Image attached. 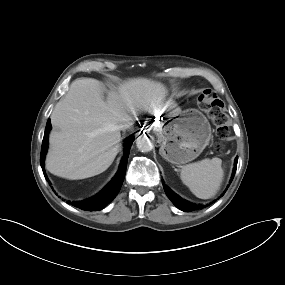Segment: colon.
I'll list each match as a JSON object with an SVG mask.
<instances>
[{"instance_id": "1", "label": "colon", "mask_w": 285, "mask_h": 285, "mask_svg": "<svg viewBox=\"0 0 285 285\" xmlns=\"http://www.w3.org/2000/svg\"><path fill=\"white\" fill-rule=\"evenodd\" d=\"M199 102L201 107L205 110L212 123L216 127V131L220 138L224 137V128L226 116L223 112V102L218 98H215L211 90H204L199 95ZM221 143L219 142L216 147L221 148Z\"/></svg>"}]
</instances>
